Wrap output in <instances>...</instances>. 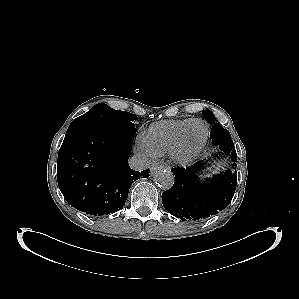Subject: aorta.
<instances>
[{
  "label": "aorta",
  "mask_w": 299,
  "mask_h": 299,
  "mask_svg": "<svg viewBox=\"0 0 299 299\" xmlns=\"http://www.w3.org/2000/svg\"><path fill=\"white\" fill-rule=\"evenodd\" d=\"M154 180L161 189L168 190L174 184V175L168 169H161L155 174Z\"/></svg>",
  "instance_id": "1"
}]
</instances>
